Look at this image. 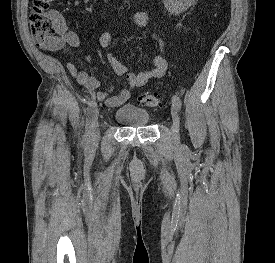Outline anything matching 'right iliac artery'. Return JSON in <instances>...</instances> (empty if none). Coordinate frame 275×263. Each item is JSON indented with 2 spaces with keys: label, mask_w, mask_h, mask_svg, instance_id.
Wrapping results in <instances>:
<instances>
[{
  "label": "right iliac artery",
  "mask_w": 275,
  "mask_h": 263,
  "mask_svg": "<svg viewBox=\"0 0 275 263\" xmlns=\"http://www.w3.org/2000/svg\"><path fill=\"white\" fill-rule=\"evenodd\" d=\"M97 104L95 101H91L86 114V126H85V134L84 139L86 142L91 140V129H92V120L94 113L96 111Z\"/></svg>",
  "instance_id": "obj_1"
}]
</instances>
